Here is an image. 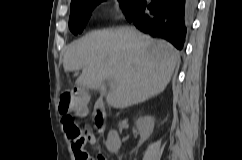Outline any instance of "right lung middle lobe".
<instances>
[{"label": "right lung middle lobe", "instance_id": "dd1d6c3e", "mask_svg": "<svg viewBox=\"0 0 242 160\" xmlns=\"http://www.w3.org/2000/svg\"><path fill=\"white\" fill-rule=\"evenodd\" d=\"M104 0H79L71 3L69 28L76 35L81 33L89 19L91 11L96 5ZM121 3L122 10L125 13L132 7L134 1L132 0H118Z\"/></svg>", "mask_w": 242, "mask_h": 160}]
</instances>
